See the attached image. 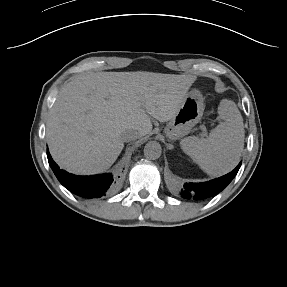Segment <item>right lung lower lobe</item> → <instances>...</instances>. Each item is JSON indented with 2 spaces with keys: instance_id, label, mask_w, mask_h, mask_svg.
<instances>
[{
  "instance_id": "obj_1",
  "label": "right lung lower lobe",
  "mask_w": 287,
  "mask_h": 287,
  "mask_svg": "<svg viewBox=\"0 0 287 287\" xmlns=\"http://www.w3.org/2000/svg\"><path fill=\"white\" fill-rule=\"evenodd\" d=\"M49 165L51 166L60 183L72 193L88 198L96 199L112 193L116 186V180L112 174L95 176H76L64 170H60L47 151Z\"/></svg>"
}]
</instances>
